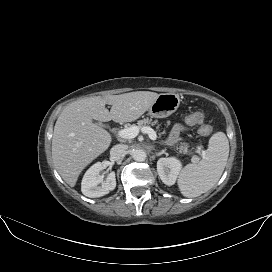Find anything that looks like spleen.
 I'll list each match as a JSON object with an SVG mask.
<instances>
[{
  "mask_svg": "<svg viewBox=\"0 0 272 272\" xmlns=\"http://www.w3.org/2000/svg\"><path fill=\"white\" fill-rule=\"evenodd\" d=\"M229 156V141L223 132L214 133L203 159L181 171L178 186L183 196L197 197L210 190L220 179Z\"/></svg>",
  "mask_w": 272,
  "mask_h": 272,
  "instance_id": "obj_1",
  "label": "spleen"
}]
</instances>
